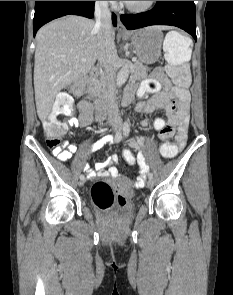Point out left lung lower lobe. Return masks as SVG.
Returning <instances> with one entry per match:
<instances>
[{"label":"left lung lower lobe","mask_w":233,"mask_h":295,"mask_svg":"<svg viewBox=\"0 0 233 295\" xmlns=\"http://www.w3.org/2000/svg\"><path fill=\"white\" fill-rule=\"evenodd\" d=\"M121 21L127 29H137L150 25H173L184 29L196 37L194 1H157L155 7L147 12L124 14Z\"/></svg>","instance_id":"obj_1"}]
</instances>
